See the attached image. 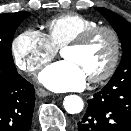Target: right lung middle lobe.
<instances>
[{"label": "right lung middle lobe", "mask_w": 131, "mask_h": 131, "mask_svg": "<svg viewBox=\"0 0 131 131\" xmlns=\"http://www.w3.org/2000/svg\"><path fill=\"white\" fill-rule=\"evenodd\" d=\"M29 16L26 11L12 14H0V62L14 64L11 43L14 33L21 22Z\"/></svg>", "instance_id": "right-lung-middle-lobe-1"}]
</instances>
